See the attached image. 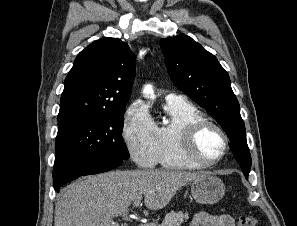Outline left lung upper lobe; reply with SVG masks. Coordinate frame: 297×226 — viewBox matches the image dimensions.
I'll list each match as a JSON object with an SVG mask.
<instances>
[{
    "label": "left lung upper lobe",
    "instance_id": "5c2ea615",
    "mask_svg": "<svg viewBox=\"0 0 297 226\" xmlns=\"http://www.w3.org/2000/svg\"><path fill=\"white\" fill-rule=\"evenodd\" d=\"M168 74L174 85L206 109L230 139V149L248 178L252 160L239 102L227 71L216 57L186 35L160 41Z\"/></svg>",
    "mask_w": 297,
    "mask_h": 226
}]
</instances>
